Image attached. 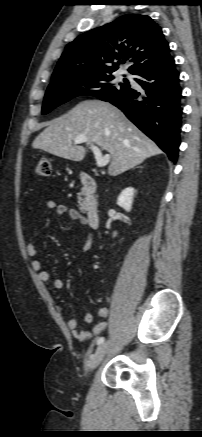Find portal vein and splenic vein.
<instances>
[{"mask_svg": "<svg viewBox=\"0 0 202 437\" xmlns=\"http://www.w3.org/2000/svg\"><path fill=\"white\" fill-rule=\"evenodd\" d=\"M87 142L90 144L86 138L85 135H78L74 139V144H81ZM91 150L93 151V154L95 156L97 166L98 167H104L110 162V154H105L104 156L101 153V150L97 147L91 144Z\"/></svg>", "mask_w": 202, "mask_h": 437, "instance_id": "18ae733b", "label": "portal vein and splenic vein"}]
</instances>
